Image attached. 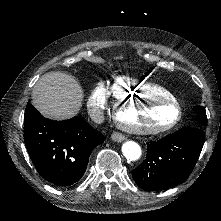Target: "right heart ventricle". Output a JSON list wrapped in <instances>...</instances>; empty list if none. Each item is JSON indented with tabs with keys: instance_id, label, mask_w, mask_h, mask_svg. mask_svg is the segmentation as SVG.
Returning <instances> with one entry per match:
<instances>
[{
	"instance_id": "1",
	"label": "right heart ventricle",
	"mask_w": 221,
	"mask_h": 221,
	"mask_svg": "<svg viewBox=\"0 0 221 221\" xmlns=\"http://www.w3.org/2000/svg\"><path fill=\"white\" fill-rule=\"evenodd\" d=\"M111 95L118 99L130 98L140 99L141 96H147L148 99L171 98L172 89L165 86L150 84L148 81L137 79L129 75H118L113 80Z\"/></svg>"
}]
</instances>
